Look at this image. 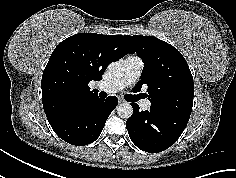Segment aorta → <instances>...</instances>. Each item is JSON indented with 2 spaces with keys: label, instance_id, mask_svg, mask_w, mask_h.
<instances>
[{
  "label": "aorta",
  "instance_id": "aorta-1",
  "mask_svg": "<svg viewBox=\"0 0 236 178\" xmlns=\"http://www.w3.org/2000/svg\"><path fill=\"white\" fill-rule=\"evenodd\" d=\"M109 74L114 78H120L124 75V66L119 61L111 62L108 67ZM117 114L124 119H128L133 114V108L128 102L121 103L117 106Z\"/></svg>",
  "mask_w": 236,
  "mask_h": 178
}]
</instances>
